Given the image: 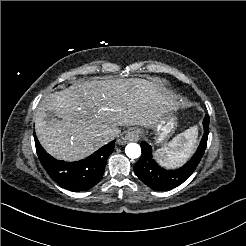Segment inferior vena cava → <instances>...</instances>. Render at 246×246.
I'll list each match as a JSON object with an SVG mask.
<instances>
[{
	"mask_svg": "<svg viewBox=\"0 0 246 246\" xmlns=\"http://www.w3.org/2000/svg\"><path fill=\"white\" fill-rule=\"evenodd\" d=\"M119 134V131L117 129H113L109 132L108 137L111 139H114Z\"/></svg>",
	"mask_w": 246,
	"mask_h": 246,
	"instance_id": "602c4592",
	"label": "inferior vena cava"
}]
</instances>
